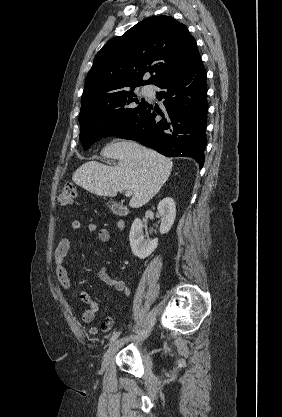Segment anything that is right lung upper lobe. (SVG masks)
Wrapping results in <instances>:
<instances>
[{
  "instance_id": "1",
  "label": "right lung upper lobe",
  "mask_w": 282,
  "mask_h": 417,
  "mask_svg": "<svg viewBox=\"0 0 282 417\" xmlns=\"http://www.w3.org/2000/svg\"><path fill=\"white\" fill-rule=\"evenodd\" d=\"M200 60L196 41L184 24L165 15L147 18L109 40L97 53L82 100L146 84L157 86ZM146 72L151 78L143 81Z\"/></svg>"
}]
</instances>
